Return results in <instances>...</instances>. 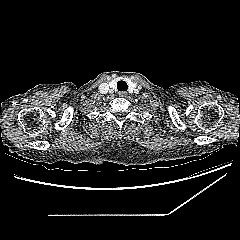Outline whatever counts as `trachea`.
Listing matches in <instances>:
<instances>
[{
    "label": "trachea",
    "mask_w": 240,
    "mask_h": 240,
    "mask_svg": "<svg viewBox=\"0 0 240 240\" xmlns=\"http://www.w3.org/2000/svg\"><path fill=\"white\" fill-rule=\"evenodd\" d=\"M127 88H128V86H127V83L125 82V81H119L118 83H117V89L119 90V91H126L127 90Z\"/></svg>",
    "instance_id": "1"
}]
</instances>
